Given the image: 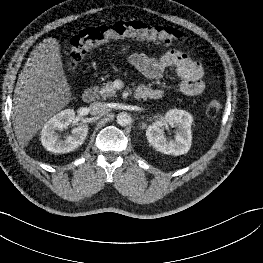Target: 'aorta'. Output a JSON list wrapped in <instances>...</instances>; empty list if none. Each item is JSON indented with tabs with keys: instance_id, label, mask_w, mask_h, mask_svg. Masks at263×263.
Here are the masks:
<instances>
[{
	"instance_id": "aorta-1",
	"label": "aorta",
	"mask_w": 263,
	"mask_h": 263,
	"mask_svg": "<svg viewBox=\"0 0 263 263\" xmlns=\"http://www.w3.org/2000/svg\"><path fill=\"white\" fill-rule=\"evenodd\" d=\"M131 122V117L126 112H121L117 115V123L120 126H126Z\"/></svg>"
}]
</instances>
